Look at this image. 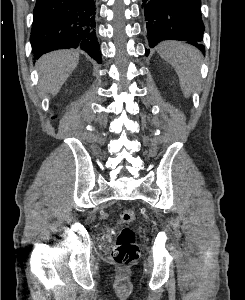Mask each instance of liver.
Returning a JSON list of instances; mask_svg holds the SVG:
<instances>
[{
	"label": "liver",
	"instance_id": "1",
	"mask_svg": "<svg viewBox=\"0 0 245 300\" xmlns=\"http://www.w3.org/2000/svg\"><path fill=\"white\" fill-rule=\"evenodd\" d=\"M79 62V53L69 50L44 55L36 62L39 86L43 93L55 96Z\"/></svg>",
	"mask_w": 245,
	"mask_h": 300
}]
</instances>
